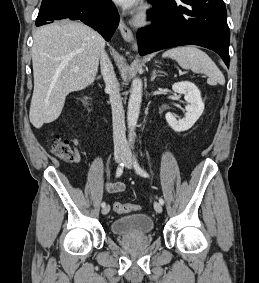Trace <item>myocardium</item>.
<instances>
[{"label":"myocardium","instance_id":"obj_1","mask_svg":"<svg viewBox=\"0 0 259 283\" xmlns=\"http://www.w3.org/2000/svg\"><path fill=\"white\" fill-rule=\"evenodd\" d=\"M137 24H144L146 22V14L141 13L136 20Z\"/></svg>","mask_w":259,"mask_h":283}]
</instances>
